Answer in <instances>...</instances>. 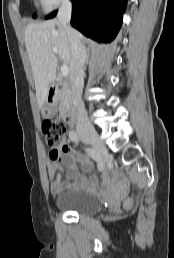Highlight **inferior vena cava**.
<instances>
[{
    "instance_id": "obj_1",
    "label": "inferior vena cava",
    "mask_w": 174,
    "mask_h": 258,
    "mask_svg": "<svg viewBox=\"0 0 174 258\" xmlns=\"http://www.w3.org/2000/svg\"><path fill=\"white\" fill-rule=\"evenodd\" d=\"M72 4L65 0L58 12L57 18L64 27L71 47L70 82L72 103L77 111V131H92L93 127L88 120L87 112L82 101L83 91V65L86 59V50L77 33L70 27Z\"/></svg>"
}]
</instances>
